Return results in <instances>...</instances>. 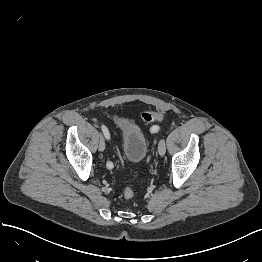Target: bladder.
I'll list each match as a JSON object with an SVG mask.
<instances>
[{"label": "bladder", "mask_w": 262, "mask_h": 262, "mask_svg": "<svg viewBox=\"0 0 262 262\" xmlns=\"http://www.w3.org/2000/svg\"><path fill=\"white\" fill-rule=\"evenodd\" d=\"M121 133V146L124 158L129 164L140 163L148 152V139L142 128L126 117H117Z\"/></svg>", "instance_id": "bladder-1"}]
</instances>
